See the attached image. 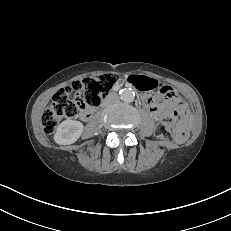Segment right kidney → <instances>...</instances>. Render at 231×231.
<instances>
[{
  "label": "right kidney",
  "mask_w": 231,
  "mask_h": 231,
  "mask_svg": "<svg viewBox=\"0 0 231 231\" xmlns=\"http://www.w3.org/2000/svg\"><path fill=\"white\" fill-rule=\"evenodd\" d=\"M83 129L81 122L67 119L58 126L54 141L60 145L72 144L81 136Z\"/></svg>",
  "instance_id": "right-kidney-1"
}]
</instances>
